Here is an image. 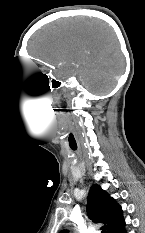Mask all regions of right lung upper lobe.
Segmentation results:
<instances>
[{"label":"right lung upper lobe","mask_w":145,"mask_h":233,"mask_svg":"<svg viewBox=\"0 0 145 233\" xmlns=\"http://www.w3.org/2000/svg\"><path fill=\"white\" fill-rule=\"evenodd\" d=\"M87 213L94 223L105 224L102 227L103 233H111L113 228L124 220L121 206L97 184H94L89 192ZM60 233H68V231L62 230Z\"/></svg>","instance_id":"1"}]
</instances>
